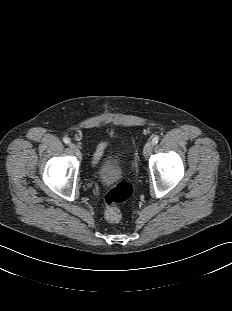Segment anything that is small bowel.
Here are the masks:
<instances>
[{"mask_svg":"<svg viewBox=\"0 0 232 311\" xmlns=\"http://www.w3.org/2000/svg\"><path fill=\"white\" fill-rule=\"evenodd\" d=\"M109 145V142L108 141H104V142H101L98 146H97V149L96 151L94 152L93 154V157H92V165L93 166H97L100 162V159L105 151V149L107 148V146Z\"/></svg>","mask_w":232,"mask_h":311,"instance_id":"1","label":"small bowel"}]
</instances>
